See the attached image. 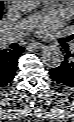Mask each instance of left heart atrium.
<instances>
[{
  "instance_id": "1",
  "label": "left heart atrium",
  "mask_w": 74,
  "mask_h": 122,
  "mask_svg": "<svg viewBox=\"0 0 74 122\" xmlns=\"http://www.w3.org/2000/svg\"><path fill=\"white\" fill-rule=\"evenodd\" d=\"M62 18L57 13H52L44 16L37 25L39 34H45L54 31L61 23Z\"/></svg>"
}]
</instances>
